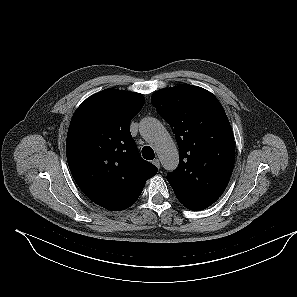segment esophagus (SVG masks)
<instances>
[{
	"instance_id": "34e87169",
	"label": "esophagus",
	"mask_w": 297,
	"mask_h": 297,
	"mask_svg": "<svg viewBox=\"0 0 297 297\" xmlns=\"http://www.w3.org/2000/svg\"><path fill=\"white\" fill-rule=\"evenodd\" d=\"M158 169L160 168V160L159 159H154L152 162Z\"/></svg>"
}]
</instances>
